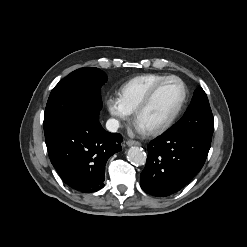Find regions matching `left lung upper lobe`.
<instances>
[{
    "label": "left lung upper lobe",
    "mask_w": 247,
    "mask_h": 247,
    "mask_svg": "<svg viewBox=\"0 0 247 247\" xmlns=\"http://www.w3.org/2000/svg\"><path fill=\"white\" fill-rule=\"evenodd\" d=\"M172 128L181 133L212 136L214 130L213 115L207 95L202 88L195 90L185 115Z\"/></svg>",
    "instance_id": "obj_1"
}]
</instances>
